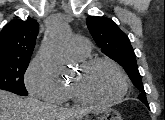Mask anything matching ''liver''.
Here are the masks:
<instances>
[{
  "label": "liver",
  "mask_w": 165,
  "mask_h": 120,
  "mask_svg": "<svg viewBox=\"0 0 165 120\" xmlns=\"http://www.w3.org/2000/svg\"><path fill=\"white\" fill-rule=\"evenodd\" d=\"M89 111L90 108L64 109L0 90V120H80Z\"/></svg>",
  "instance_id": "liver-1"
}]
</instances>
